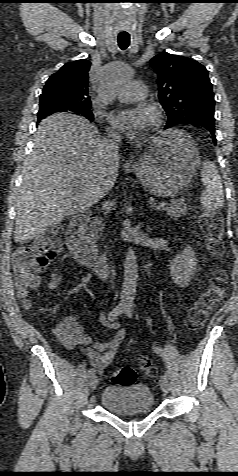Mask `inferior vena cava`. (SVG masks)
I'll list each match as a JSON object with an SVG mask.
<instances>
[{"label":"inferior vena cava","instance_id":"1","mask_svg":"<svg viewBox=\"0 0 238 476\" xmlns=\"http://www.w3.org/2000/svg\"><path fill=\"white\" fill-rule=\"evenodd\" d=\"M120 142V137L114 133L108 134V136L103 140L105 155L107 158L119 160L118 150ZM111 282L113 283V281Z\"/></svg>","mask_w":238,"mask_h":476}]
</instances>
